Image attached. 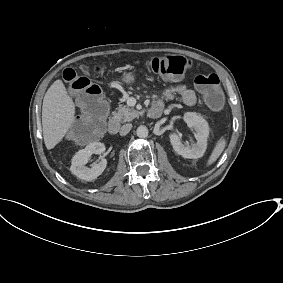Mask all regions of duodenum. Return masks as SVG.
<instances>
[{
	"label": "duodenum",
	"instance_id": "410a0bca",
	"mask_svg": "<svg viewBox=\"0 0 283 283\" xmlns=\"http://www.w3.org/2000/svg\"><path fill=\"white\" fill-rule=\"evenodd\" d=\"M163 113L161 104H154L147 110V116L153 119L159 118ZM119 130V123L116 120H110L107 125V131L110 135H115Z\"/></svg>",
	"mask_w": 283,
	"mask_h": 283
}]
</instances>
